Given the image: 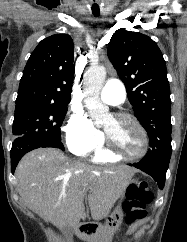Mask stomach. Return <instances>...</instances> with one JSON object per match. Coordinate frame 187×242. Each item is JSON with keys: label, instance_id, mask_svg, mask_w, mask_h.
Instances as JSON below:
<instances>
[{"label": "stomach", "instance_id": "0dacf381", "mask_svg": "<svg viewBox=\"0 0 187 242\" xmlns=\"http://www.w3.org/2000/svg\"><path fill=\"white\" fill-rule=\"evenodd\" d=\"M138 181L130 180L129 185H137ZM128 185V186H129ZM125 193L115 210L107 217L105 225L96 224L91 228V233L88 236L91 242H112L115 232L120 228L123 222L122 202Z\"/></svg>", "mask_w": 187, "mask_h": 242}]
</instances>
